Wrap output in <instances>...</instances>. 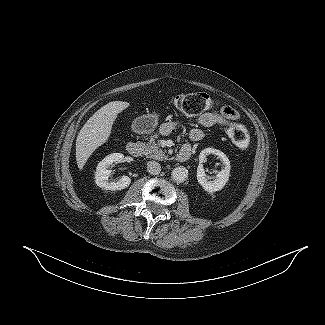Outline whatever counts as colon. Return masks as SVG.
Listing matches in <instances>:
<instances>
[{
	"label": "colon",
	"instance_id": "5ec220e1",
	"mask_svg": "<svg viewBox=\"0 0 325 325\" xmlns=\"http://www.w3.org/2000/svg\"><path fill=\"white\" fill-rule=\"evenodd\" d=\"M170 106L186 116H196L209 110L213 106V99L203 92L180 94L171 99ZM227 133L236 148H248L249 137L243 125L237 121L231 122Z\"/></svg>",
	"mask_w": 325,
	"mask_h": 325
}]
</instances>
